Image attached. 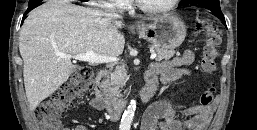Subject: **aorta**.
Instances as JSON below:
<instances>
[{
    "mask_svg": "<svg viewBox=\"0 0 257 130\" xmlns=\"http://www.w3.org/2000/svg\"><path fill=\"white\" fill-rule=\"evenodd\" d=\"M135 110H136V101L131 100L130 104L128 105L127 109L125 110L122 116L121 123H120L121 130H130L131 123L134 118Z\"/></svg>",
    "mask_w": 257,
    "mask_h": 130,
    "instance_id": "762f6f07",
    "label": "aorta"
}]
</instances>
